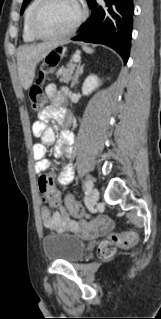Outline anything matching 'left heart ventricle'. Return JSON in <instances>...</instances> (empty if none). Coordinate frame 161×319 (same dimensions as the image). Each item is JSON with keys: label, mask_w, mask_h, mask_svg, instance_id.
Here are the masks:
<instances>
[{"label": "left heart ventricle", "mask_w": 161, "mask_h": 319, "mask_svg": "<svg viewBox=\"0 0 161 319\" xmlns=\"http://www.w3.org/2000/svg\"><path fill=\"white\" fill-rule=\"evenodd\" d=\"M76 15L73 0H50L40 12L36 25L43 34H56L69 27Z\"/></svg>", "instance_id": "left-heart-ventricle-1"}]
</instances>
